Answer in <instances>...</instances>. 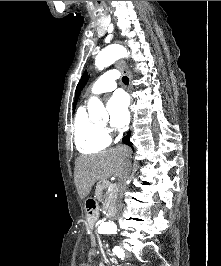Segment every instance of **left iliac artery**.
<instances>
[{"mask_svg":"<svg viewBox=\"0 0 221 266\" xmlns=\"http://www.w3.org/2000/svg\"><path fill=\"white\" fill-rule=\"evenodd\" d=\"M116 255H118L119 258L123 259L125 256V253L122 248L119 246H115L112 250Z\"/></svg>","mask_w":221,"mask_h":266,"instance_id":"1","label":"left iliac artery"}]
</instances>
